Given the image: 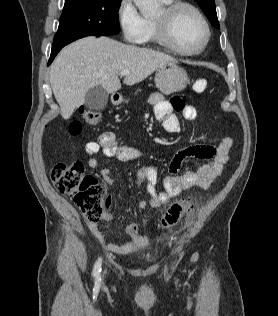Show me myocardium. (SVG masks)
I'll return each mask as SVG.
<instances>
[{
    "label": "myocardium",
    "instance_id": "obj_1",
    "mask_svg": "<svg viewBox=\"0 0 278 316\" xmlns=\"http://www.w3.org/2000/svg\"><path fill=\"white\" fill-rule=\"evenodd\" d=\"M189 9L196 14V16L202 22L205 28V39L201 47L195 50L185 49L178 42L175 32H174V20L177 14L183 10ZM155 27L159 38L166 43L170 48L174 51L186 55V56H194L202 53L209 44L211 39V27L210 24L203 14V12L193 3L187 1L174 0L172 3L166 5L162 9V13L159 17L154 19Z\"/></svg>",
    "mask_w": 278,
    "mask_h": 316
}]
</instances>
